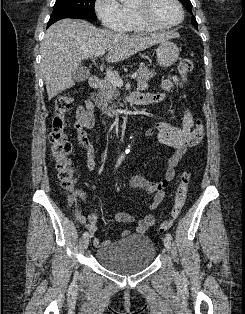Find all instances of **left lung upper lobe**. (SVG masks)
<instances>
[{
  "label": "left lung upper lobe",
  "mask_w": 245,
  "mask_h": 314,
  "mask_svg": "<svg viewBox=\"0 0 245 314\" xmlns=\"http://www.w3.org/2000/svg\"><path fill=\"white\" fill-rule=\"evenodd\" d=\"M186 8H188L189 12L192 13V4L190 0H179ZM191 23L197 28L198 24L196 18L192 15Z\"/></svg>",
  "instance_id": "1"
}]
</instances>
